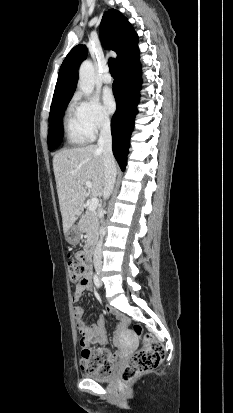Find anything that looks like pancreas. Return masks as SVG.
<instances>
[{
  "mask_svg": "<svg viewBox=\"0 0 233 413\" xmlns=\"http://www.w3.org/2000/svg\"><path fill=\"white\" fill-rule=\"evenodd\" d=\"M81 232L87 234V242H93L98 236V215L95 212L87 211L78 223Z\"/></svg>",
  "mask_w": 233,
  "mask_h": 413,
  "instance_id": "obj_1",
  "label": "pancreas"
}]
</instances>
